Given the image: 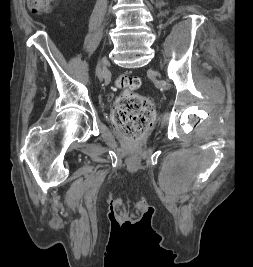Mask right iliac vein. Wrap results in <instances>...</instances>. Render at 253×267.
Here are the masks:
<instances>
[{"instance_id": "right-iliac-vein-1", "label": "right iliac vein", "mask_w": 253, "mask_h": 267, "mask_svg": "<svg viewBox=\"0 0 253 267\" xmlns=\"http://www.w3.org/2000/svg\"><path fill=\"white\" fill-rule=\"evenodd\" d=\"M100 64H102V65H103V64L106 65V64H107L106 59L103 58V59L101 60Z\"/></svg>"}]
</instances>
